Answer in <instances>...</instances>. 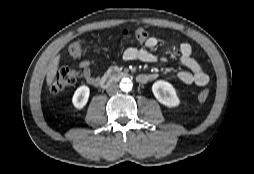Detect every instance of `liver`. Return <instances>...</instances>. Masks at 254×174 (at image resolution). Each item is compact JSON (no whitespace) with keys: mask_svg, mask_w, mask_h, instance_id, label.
Segmentation results:
<instances>
[{"mask_svg":"<svg viewBox=\"0 0 254 174\" xmlns=\"http://www.w3.org/2000/svg\"><path fill=\"white\" fill-rule=\"evenodd\" d=\"M59 61H60V55H57L53 59L52 63L50 64V66L48 68L47 77H46V81H47L48 86H51V84L54 81L56 72L58 70Z\"/></svg>","mask_w":254,"mask_h":174,"instance_id":"1","label":"liver"}]
</instances>
